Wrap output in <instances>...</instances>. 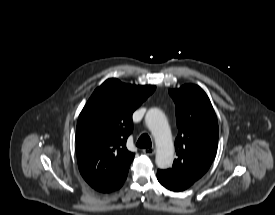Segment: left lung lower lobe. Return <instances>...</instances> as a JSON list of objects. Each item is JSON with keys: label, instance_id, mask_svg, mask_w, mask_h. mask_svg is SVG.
Segmentation results:
<instances>
[{"label": "left lung lower lobe", "instance_id": "left-lung-lower-lobe-1", "mask_svg": "<svg viewBox=\"0 0 275 215\" xmlns=\"http://www.w3.org/2000/svg\"><path fill=\"white\" fill-rule=\"evenodd\" d=\"M157 179L164 187L172 191H183L189 188L193 183L187 180H182L167 170H158Z\"/></svg>", "mask_w": 275, "mask_h": 215}]
</instances>
